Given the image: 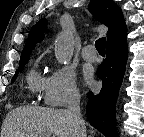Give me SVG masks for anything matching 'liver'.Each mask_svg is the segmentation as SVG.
<instances>
[{"label":"liver","instance_id":"6515ba94","mask_svg":"<svg viewBox=\"0 0 144 137\" xmlns=\"http://www.w3.org/2000/svg\"><path fill=\"white\" fill-rule=\"evenodd\" d=\"M93 132V130H91ZM76 137L71 115L66 109L23 106L8 112L1 137Z\"/></svg>","mask_w":144,"mask_h":137}]
</instances>
